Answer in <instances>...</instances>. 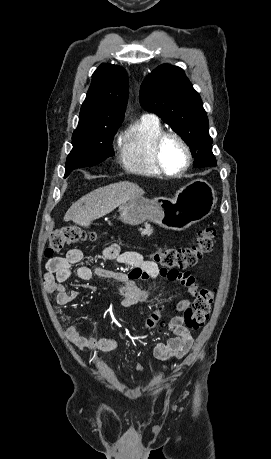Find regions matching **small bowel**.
<instances>
[{
	"instance_id": "obj_1",
	"label": "small bowel",
	"mask_w": 271,
	"mask_h": 459,
	"mask_svg": "<svg viewBox=\"0 0 271 459\" xmlns=\"http://www.w3.org/2000/svg\"><path fill=\"white\" fill-rule=\"evenodd\" d=\"M105 260L117 261L121 264L132 265L134 268L129 272H112L96 264L91 266L81 264L84 260V252L80 249L69 250L64 257H55L48 261L47 271L44 275V285L48 293H56V302L59 305H68L80 296L79 290L67 291L63 285L76 267L75 273L82 280H90L94 275L112 278L121 284V304L124 308L139 306L145 299L146 293L135 283L136 280H153L161 276L169 281H177L185 287L192 297L199 294V285L195 277L189 271H174L159 268L156 263L146 260L140 253L135 251L122 252L117 243L108 244L102 251ZM191 305L189 299H183L175 304L178 311H184ZM169 330L175 335L166 343H159L154 347V356L163 362L181 359L188 354L192 347L193 335L190 328L183 322V316H174L168 323ZM67 338L78 349L91 351H111L118 345L117 338H87L75 327L66 330ZM142 369L141 365L137 366Z\"/></svg>"
}]
</instances>
